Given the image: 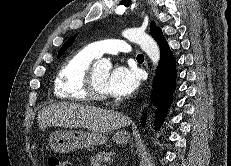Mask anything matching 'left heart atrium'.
I'll return each instance as SVG.
<instances>
[{"label": "left heart atrium", "instance_id": "1", "mask_svg": "<svg viewBox=\"0 0 231 166\" xmlns=\"http://www.w3.org/2000/svg\"><path fill=\"white\" fill-rule=\"evenodd\" d=\"M139 76L134 68L116 66L108 75L105 88L114 97H128L138 87Z\"/></svg>", "mask_w": 231, "mask_h": 166}]
</instances>
